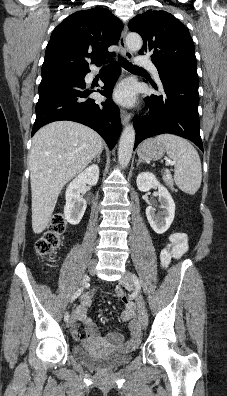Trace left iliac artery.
<instances>
[{"label": "left iliac artery", "instance_id": "left-iliac-artery-1", "mask_svg": "<svg viewBox=\"0 0 227 396\" xmlns=\"http://www.w3.org/2000/svg\"><path fill=\"white\" fill-rule=\"evenodd\" d=\"M131 276H132V278H133V280H134V282H135V284H136V287H137L138 289H140V283H139L138 278H137L134 274H132Z\"/></svg>", "mask_w": 227, "mask_h": 396}]
</instances>
